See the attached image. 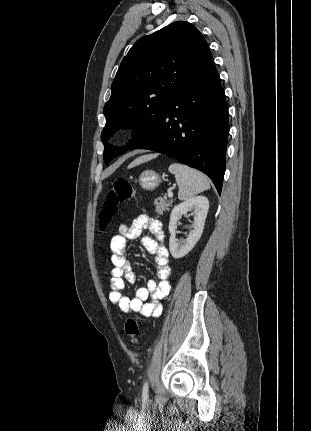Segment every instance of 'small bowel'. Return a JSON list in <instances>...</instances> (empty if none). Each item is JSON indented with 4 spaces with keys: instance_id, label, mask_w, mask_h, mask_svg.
<instances>
[{
    "instance_id": "c3829d8e",
    "label": "small bowel",
    "mask_w": 311,
    "mask_h": 431,
    "mask_svg": "<svg viewBox=\"0 0 311 431\" xmlns=\"http://www.w3.org/2000/svg\"><path fill=\"white\" fill-rule=\"evenodd\" d=\"M145 230H148L154 238L144 236L141 243L147 252L154 256L159 282L150 280L147 287L138 288L136 296L129 298L123 295L122 291L126 281L130 283L136 281V274L126 257L128 241L138 238ZM110 249L113 264L110 272L109 299L111 303L123 312H139L146 318L160 315L162 311L161 300L170 290L169 279L171 274L169 252L165 245L162 223L147 214H141L131 222L120 225L118 233L111 239ZM148 298L151 301L144 303Z\"/></svg>"
}]
</instances>
